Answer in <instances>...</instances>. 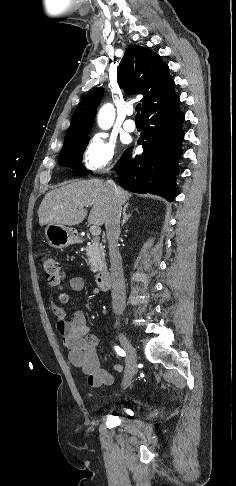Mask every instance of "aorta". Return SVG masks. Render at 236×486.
Returning a JSON list of instances; mask_svg holds the SVG:
<instances>
[{"label": "aorta", "instance_id": "1", "mask_svg": "<svg viewBox=\"0 0 236 486\" xmlns=\"http://www.w3.org/2000/svg\"><path fill=\"white\" fill-rule=\"evenodd\" d=\"M114 119V110L111 105H105L99 112L98 123L100 127L109 128Z\"/></svg>", "mask_w": 236, "mask_h": 486}]
</instances>
